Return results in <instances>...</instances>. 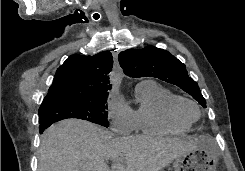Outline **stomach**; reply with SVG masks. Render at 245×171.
<instances>
[{"instance_id": "stomach-1", "label": "stomach", "mask_w": 245, "mask_h": 171, "mask_svg": "<svg viewBox=\"0 0 245 171\" xmlns=\"http://www.w3.org/2000/svg\"><path fill=\"white\" fill-rule=\"evenodd\" d=\"M174 171H216L217 156L213 145L205 140L194 150L175 159Z\"/></svg>"}]
</instances>
